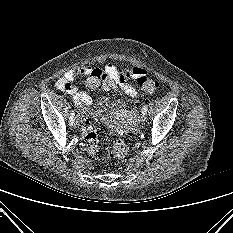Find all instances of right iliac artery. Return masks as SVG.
Here are the masks:
<instances>
[{
  "instance_id": "obj_1",
  "label": "right iliac artery",
  "mask_w": 233,
  "mask_h": 233,
  "mask_svg": "<svg viewBox=\"0 0 233 233\" xmlns=\"http://www.w3.org/2000/svg\"><path fill=\"white\" fill-rule=\"evenodd\" d=\"M74 120H75V112H74V110H72L70 113V117H69V124L71 126L74 124Z\"/></svg>"
}]
</instances>
